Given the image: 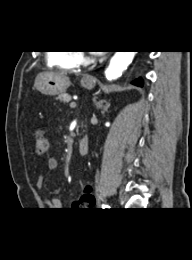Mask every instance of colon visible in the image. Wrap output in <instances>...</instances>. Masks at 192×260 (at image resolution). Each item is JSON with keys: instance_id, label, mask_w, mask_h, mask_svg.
<instances>
[{"instance_id": "obj_1", "label": "colon", "mask_w": 192, "mask_h": 260, "mask_svg": "<svg viewBox=\"0 0 192 260\" xmlns=\"http://www.w3.org/2000/svg\"><path fill=\"white\" fill-rule=\"evenodd\" d=\"M35 152L38 155L45 154L50 148V142L46 133L41 129H36L33 133ZM82 197L93 196L90 191V187L86 186Z\"/></svg>"}]
</instances>
